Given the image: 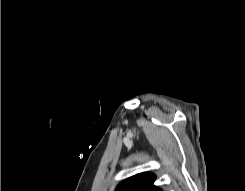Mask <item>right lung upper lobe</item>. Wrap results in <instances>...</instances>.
Listing matches in <instances>:
<instances>
[{
	"instance_id": "obj_1",
	"label": "right lung upper lobe",
	"mask_w": 245,
	"mask_h": 191,
	"mask_svg": "<svg viewBox=\"0 0 245 191\" xmlns=\"http://www.w3.org/2000/svg\"><path fill=\"white\" fill-rule=\"evenodd\" d=\"M155 175L149 172L136 174L121 182L116 191H161L153 185Z\"/></svg>"
}]
</instances>
